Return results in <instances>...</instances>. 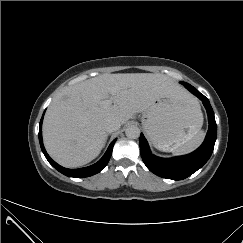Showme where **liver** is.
Masks as SVG:
<instances>
[{"instance_id":"obj_1","label":"liver","mask_w":243,"mask_h":243,"mask_svg":"<svg viewBox=\"0 0 243 243\" xmlns=\"http://www.w3.org/2000/svg\"><path fill=\"white\" fill-rule=\"evenodd\" d=\"M117 92L112 96V90ZM110 96L114 104L103 102ZM191 97L171 78L160 73L102 74L60 91L43 122V140L49 155L68 168L95 159L105 145V122L125 124L161 98L182 101Z\"/></svg>"}]
</instances>
